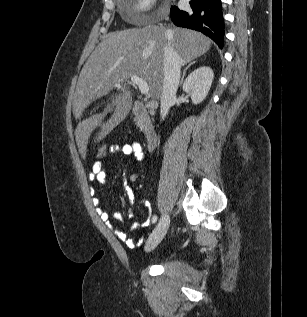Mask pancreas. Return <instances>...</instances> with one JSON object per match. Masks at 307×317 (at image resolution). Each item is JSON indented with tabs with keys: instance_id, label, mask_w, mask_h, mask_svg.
Segmentation results:
<instances>
[{
	"instance_id": "pancreas-1",
	"label": "pancreas",
	"mask_w": 307,
	"mask_h": 317,
	"mask_svg": "<svg viewBox=\"0 0 307 317\" xmlns=\"http://www.w3.org/2000/svg\"><path fill=\"white\" fill-rule=\"evenodd\" d=\"M147 123H148V120L146 118H143V117L137 118V125L138 127H140L141 130H144Z\"/></svg>"
}]
</instances>
